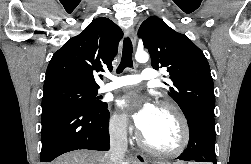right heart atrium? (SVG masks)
<instances>
[{
  "instance_id": "right-heart-atrium-1",
  "label": "right heart atrium",
  "mask_w": 251,
  "mask_h": 164,
  "mask_svg": "<svg viewBox=\"0 0 251 164\" xmlns=\"http://www.w3.org/2000/svg\"><path fill=\"white\" fill-rule=\"evenodd\" d=\"M109 128L113 135L123 137L129 129L128 121L124 115L114 113L110 117Z\"/></svg>"
}]
</instances>
